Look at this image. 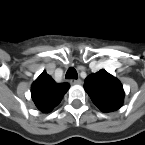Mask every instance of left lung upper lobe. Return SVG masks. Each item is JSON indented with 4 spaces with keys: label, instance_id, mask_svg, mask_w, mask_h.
Segmentation results:
<instances>
[{
    "label": "left lung upper lobe",
    "instance_id": "1",
    "mask_svg": "<svg viewBox=\"0 0 145 145\" xmlns=\"http://www.w3.org/2000/svg\"><path fill=\"white\" fill-rule=\"evenodd\" d=\"M84 89L102 112L118 110L123 104L125 93L122 84L105 70L89 75Z\"/></svg>",
    "mask_w": 145,
    "mask_h": 145
}]
</instances>
